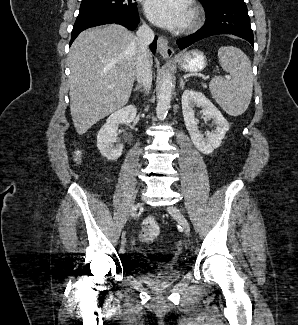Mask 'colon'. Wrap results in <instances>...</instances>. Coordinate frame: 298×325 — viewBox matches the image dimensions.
I'll use <instances>...</instances> for the list:
<instances>
[{
    "instance_id": "colon-1",
    "label": "colon",
    "mask_w": 298,
    "mask_h": 325,
    "mask_svg": "<svg viewBox=\"0 0 298 325\" xmlns=\"http://www.w3.org/2000/svg\"><path fill=\"white\" fill-rule=\"evenodd\" d=\"M159 234V225L154 217H146L141 226L139 237L141 241L150 243L156 239Z\"/></svg>"
}]
</instances>
